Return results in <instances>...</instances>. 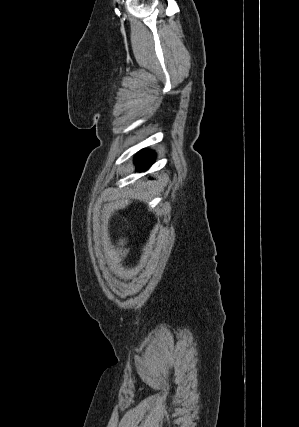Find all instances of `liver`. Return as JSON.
Returning a JSON list of instances; mask_svg holds the SVG:
<instances>
[{"mask_svg": "<svg viewBox=\"0 0 299 427\" xmlns=\"http://www.w3.org/2000/svg\"><path fill=\"white\" fill-rule=\"evenodd\" d=\"M123 243H124V241H123V240H121L120 244H122V245H123Z\"/></svg>", "mask_w": 299, "mask_h": 427, "instance_id": "6515ba94", "label": "liver"}]
</instances>
